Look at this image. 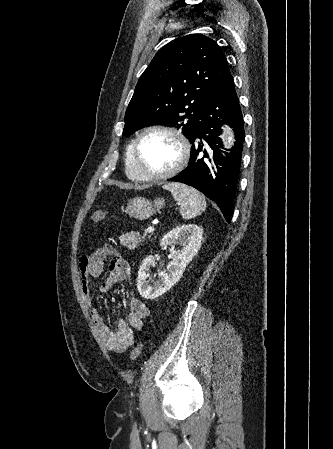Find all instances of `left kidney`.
I'll return each mask as SVG.
<instances>
[{
	"mask_svg": "<svg viewBox=\"0 0 333 449\" xmlns=\"http://www.w3.org/2000/svg\"><path fill=\"white\" fill-rule=\"evenodd\" d=\"M203 229L196 224H184L168 232L161 240V246L170 247L174 255L167 270L159 273V279L151 286L148 270L155 266L153 255L146 257L138 271L137 288L140 295L146 299H154L167 292L182 277L188 263L194 258L201 247ZM179 245L178 249L175 246Z\"/></svg>",
	"mask_w": 333,
	"mask_h": 449,
	"instance_id": "obj_1",
	"label": "left kidney"
}]
</instances>
